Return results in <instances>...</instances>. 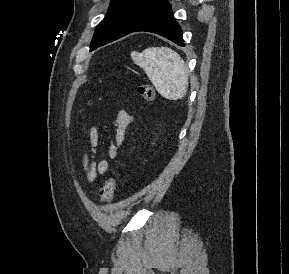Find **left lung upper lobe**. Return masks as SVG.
Returning <instances> with one entry per match:
<instances>
[{
	"mask_svg": "<svg viewBox=\"0 0 289 274\" xmlns=\"http://www.w3.org/2000/svg\"><path fill=\"white\" fill-rule=\"evenodd\" d=\"M166 2V0H112L106 16L95 29L90 50L129 34Z\"/></svg>",
	"mask_w": 289,
	"mask_h": 274,
	"instance_id": "obj_1",
	"label": "left lung upper lobe"
}]
</instances>
